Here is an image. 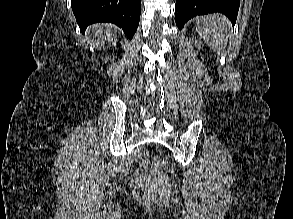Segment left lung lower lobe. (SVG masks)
Instances as JSON below:
<instances>
[{"label":"left lung lower lobe","instance_id":"left-lung-lower-lobe-1","mask_svg":"<svg viewBox=\"0 0 293 219\" xmlns=\"http://www.w3.org/2000/svg\"><path fill=\"white\" fill-rule=\"evenodd\" d=\"M239 10V0H176L175 20L179 29L191 18L213 12L225 14L234 25Z\"/></svg>","mask_w":293,"mask_h":219}]
</instances>
